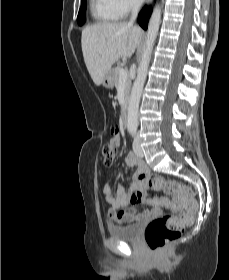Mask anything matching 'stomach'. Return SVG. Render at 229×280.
Listing matches in <instances>:
<instances>
[{"instance_id":"obj_1","label":"stomach","mask_w":229,"mask_h":280,"mask_svg":"<svg viewBox=\"0 0 229 280\" xmlns=\"http://www.w3.org/2000/svg\"><path fill=\"white\" fill-rule=\"evenodd\" d=\"M114 81H115V74L114 70L110 69L104 76L102 85L107 89H112L114 87Z\"/></svg>"}]
</instances>
